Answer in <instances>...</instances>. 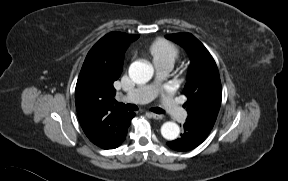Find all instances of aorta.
<instances>
[{"instance_id": "obj_1", "label": "aorta", "mask_w": 288, "mask_h": 181, "mask_svg": "<svg viewBox=\"0 0 288 181\" xmlns=\"http://www.w3.org/2000/svg\"><path fill=\"white\" fill-rule=\"evenodd\" d=\"M154 69L146 61L138 60L129 67V76L137 84L147 83L153 76ZM180 133V128L175 122H165L161 126V134L167 140H175Z\"/></svg>"}]
</instances>
